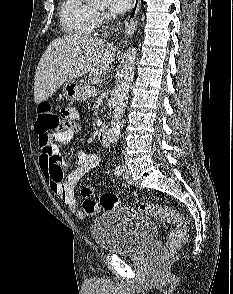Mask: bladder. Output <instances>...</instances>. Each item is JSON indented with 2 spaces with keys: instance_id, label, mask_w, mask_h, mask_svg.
<instances>
[{
  "instance_id": "31cf9c89",
  "label": "bladder",
  "mask_w": 233,
  "mask_h": 294,
  "mask_svg": "<svg viewBox=\"0 0 233 294\" xmlns=\"http://www.w3.org/2000/svg\"><path fill=\"white\" fill-rule=\"evenodd\" d=\"M95 243L104 251L136 255L156 238L157 228L143 212L133 207H115L98 217L91 227Z\"/></svg>"
}]
</instances>
